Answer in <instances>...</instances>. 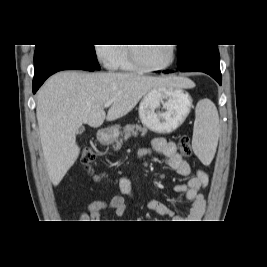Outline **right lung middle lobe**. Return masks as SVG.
Segmentation results:
<instances>
[{"instance_id":"right-lung-middle-lobe-1","label":"right lung middle lobe","mask_w":267,"mask_h":267,"mask_svg":"<svg viewBox=\"0 0 267 267\" xmlns=\"http://www.w3.org/2000/svg\"><path fill=\"white\" fill-rule=\"evenodd\" d=\"M43 45H36L40 47ZM55 46L65 52L72 54L73 56L87 62L96 69H100L98 61L96 59L94 45H79V44H56Z\"/></svg>"}]
</instances>
